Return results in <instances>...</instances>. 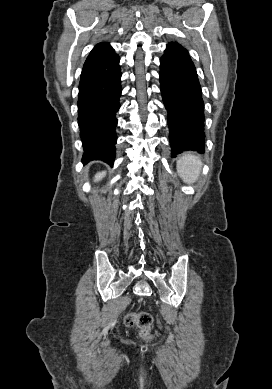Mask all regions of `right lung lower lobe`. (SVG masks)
<instances>
[{
    "label": "right lung lower lobe",
    "mask_w": 272,
    "mask_h": 389,
    "mask_svg": "<svg viewBox=\"0 0 272 389\" xmlns=\"http://www.w3.org/2000/svg\"><path fill=\"white\" fill-rule=\"evenodd\" d=\"M116 54L84 67L79 82L78 123L85 153L82 161L113 164L117 140L116 112L120 108L121 72Z\"/></svg>",
    "instance_id": "obj_1"
}]
</instances>
